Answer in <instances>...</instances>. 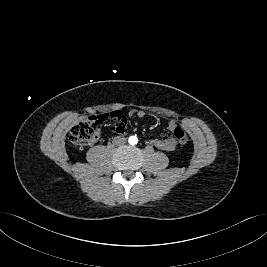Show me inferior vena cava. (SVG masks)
I'll list each match as a JSON object with an SVG mask.
<instances>
[{
	"instance_id": "inferior-vena-cava-1",
	"label": "inferior vena cava",
	"mask_w": 267,
	"mask_h": 267,
	"mask_svg": "<svg viewBox=\"0 0 267 267\" xmlns=\"http://www.w3.org/2000/svg\"><path fill=\"white\" fill-rule=\"evenodd\" d=\"M116 140H117L118 144H125L126 143L125 137H116Z\"/></svg>"
}]
</instances>
